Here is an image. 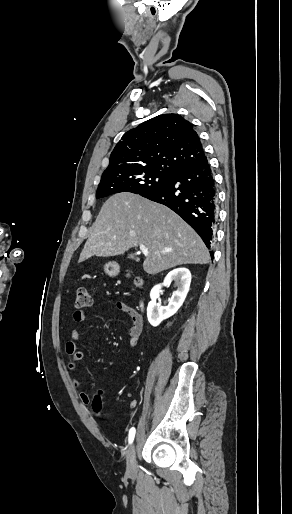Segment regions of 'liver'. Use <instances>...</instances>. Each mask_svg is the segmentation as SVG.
Instances as JSON below:
<instances>
[{
  "label": "liver",
  "mask_w": 292,
  "mask_h": 514,
  "mask_svg": "<svg viewBox=\"0 0 292 514\" xmlns=\"http://www.w3.org/2000/svg\"><path fill=\"white\" fill-rule=\"evenodd\" d=\"M134 246H145L147 274L181 264H208L210 254L200 236L175 212L142 196L122 192L103 204L79 258L119 256ZM172 250V252H164Z\"/></svg>",
  "instance_id": "obj_1"
}]
</instances>
